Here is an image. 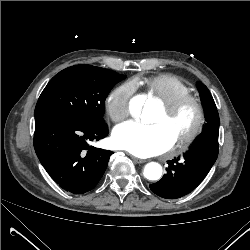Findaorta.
<instances>
[{
  "label": "aorta",
  "mask_w": 250,
  "mask_h": 250,
  "mask_svg": "<svg viewBox=\"0 0 250 250\" xmlns=\"http://www.w3.org/2000/svg\"><path fill=\"white\" fill-rule=\"evenodd\" d=\"M143 118L150 121L152 118L151 112L148 109L143 110ZM162 175V167L156 162L148 163L144 168V176L149 180H158Z\"/></svg>",
  "instance_id": "762f6f07"
}]
</instances>
